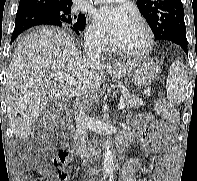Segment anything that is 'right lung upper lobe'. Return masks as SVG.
I'll use <instances>...</instances> for the list:
<instances>
[{
	"instance_id": "1",
	"label": "right lung upper lobe",
	"mask_w": 197,
	"mask_h": 181,
	"mask_svg": "<svg viewBox=\"0 0 197 181\" xmlns=\"http://www.w3.org/2000/svg\"><path fill=\"white\" fill-rule=\"evenodd\" d=\"M20 4H28L33 6H37L40 4L69 6L72 5V0H20Z\"/></svg>"
}]
</instances>
